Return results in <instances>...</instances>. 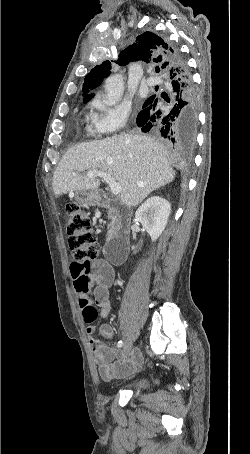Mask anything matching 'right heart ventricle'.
<instances>
[{"mask_svg": "<svg viewBox=\"0 0 250 454\" xmlns=\"http://www.w3.org/2000/svg\"><path fill=\"white\" fill-rule=\"evenodd\" d=\"M86 131L88 134L90 135H94L96 133H99V131L97 130L96 126H95V116H92L88 121H87V124H86Z\"/></svg>", "mask_w": 250, "mask_h": 454, "instance_id": "e07e8e85", "label": "right heart ventricle"}]
</instances>
